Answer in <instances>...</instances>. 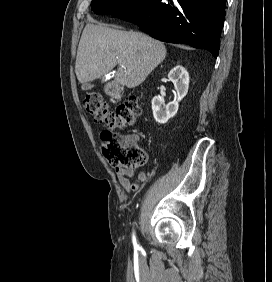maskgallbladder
<instances>
[{"label": "gallbladder", "mask_w": 272, "mask_h": 282, "mask_svg": "<svg viewBox=\"0 0 272 282\" xmlns=\"http://www.w3.org/2000/svg\"><path fill=\"white\" fill-rule=\"evenodd\" d=\"M92 87H93V86L90 85V84H85V85L83 86V89L89 90V89H91Z\"/></svg>", "instance_id": "1"}]
</instances>
